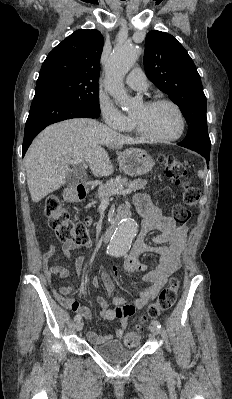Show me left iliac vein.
Here are the masks:
<instances>
[{"instance_id":"1","label":"left iliac vein","mask_w":232,"mask_h":399,"mask_svg":"<svg viewBox=\"0 0 232 399\" xmlns=\"http://www.w3.org/2000/svg\"><path fill=\"white\" fill-rule=\"evenodd\" d=\"M150 330H152V333H154L155 335L161 334V331L159 330V328H157V325H154V328Z\"/></svg>"}]
</instances>
